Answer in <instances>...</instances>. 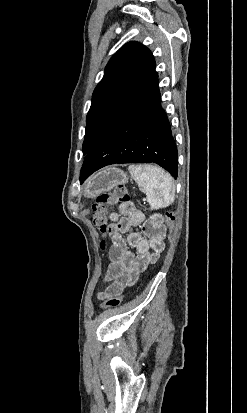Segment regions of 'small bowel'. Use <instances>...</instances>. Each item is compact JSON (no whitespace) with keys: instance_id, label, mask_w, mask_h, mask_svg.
Wrapping results in <instances>:
<instances>
[{"instance_id":"small-bowel-1","label":"small bowel","mask_w":247,"mask_h":413,"mask_svg":"<svg viewBox=\"0 0 247 413\" xmlns=\"http://www.w3.org/2000/svg\"><path fill=\"white\" fill-rule=\"evenodd\" d=\"M111 225L108 228L111 239L109 250L110 264L107 267L105 279L115 281L109 284L107 290L97 293L99 299H120L127 285L134 284L139 275L155 264L160 252L165 248L163 220L153 217L145 221L143 213L133 203L120 204L117 210L109 214ZM152 227V232L148 231ZM139 227L141 232L132 231ZM127 233L126 240L123 234ZM136 249V253L129 250ZM123 277L126 281L117 280Z\"/></svg>"}]
</instances>
